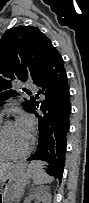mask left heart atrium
Segmentation results:
<instances>
[{
    "label": "left heart atrium",
    "mask_w": 89,
    "mask_h": 203,
    "mask_svg": "<svg viewBox=\"0 0 89 203\" xmlns=\"http://www.w3.org/2000/svg\"><path fill=\"white\" fill-rule=\"evenodd\" d=\"M17 126L19 128V130L26 134L27 136H29V133L31 131V128H32V120L30 117H28L27 115H21L19 118H18V121H17Z\"/></svg>",
    "instance_id": "left-heart-atrium-1"
}]
</instances>
